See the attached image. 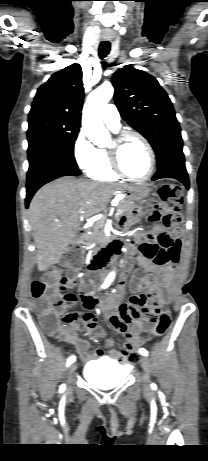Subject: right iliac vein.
Instances as JSON below:
<instances>
[{
    "mask_svg": "<svg viewBox=\"0 0 208 461\" xmlns=\"http://www.w3.org/2000/svg\"><path fill=\"white\" fill-rule=\"evenodd\" d=\"M75 369H76V364H71L69 369H68V374L72 375L73 372L75 371Z\"/></svg>",
    "mask_w": 208,
    "mask_h": 461,
    "instance_id": "obj_1",
    "label": "right iliac vein"
}]
</instances>
